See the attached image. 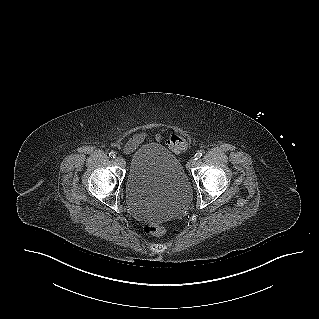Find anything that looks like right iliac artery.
<instances>
[{"label":"right iliac artery","mask_w":319,"mask_h":319,"mask_svg":"<svg viewBox=\"0 0 319 319\" xmlns=\"http://www.w3.org/2000/svg\"><path fill=\"white\" fill-rule=\"evenodd\" d=\"M109 157H111V158H115V157H116L115 152H113V151H112V152H110V153H109Z\"/></svg>","instance_id":"1"}]
</instances>
